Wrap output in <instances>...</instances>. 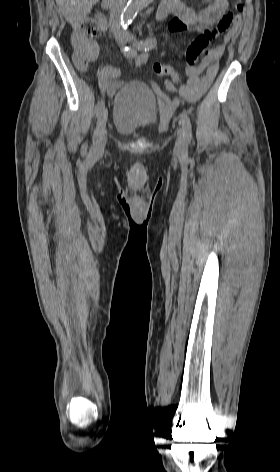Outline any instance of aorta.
Returning <instances> with one entry per match:
<instances>
[{
	"label": "aorta",
	"instance_id": "aorta-1",
	"mask_svg": "<svg viewBox=\"0 0 280 472\" xmlns=\"http://www.w3.org/2000/svg\"><path fill=\"white\" fill-rule=\"evenodd\" d=\"M153 0H129L127 6L124 8L120 16V22L122 25H127V23L132 20L135 15L143 9L148 3Z\"/></svg>",
	"mask_w": 280,
	"mask_h": 472
}]
</instances>
